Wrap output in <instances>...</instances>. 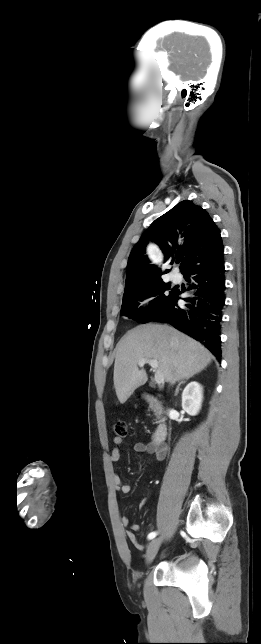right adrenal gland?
I'll return each mask as SVG.
<instances>
[{
  "instance_id": "obj_1",
  "label": "right adrenal gland",
  "mask_w": 261,
  "mask_h": 644,
  "mask_svg": "<svg viewBox=\"0 0 261 644\" xmlns=\"http://www.w3.org/2000/svg\"><path fill=\"white\" fill-rule=\"evenodd\" d=\"M188 379H189V378H186L185 380L181 381V382L178 384V386H177V388H176V391H175V394H177V393H178V391H179V388H180L181 384L185 383Z\"/></svg>"
}]
</instances>
